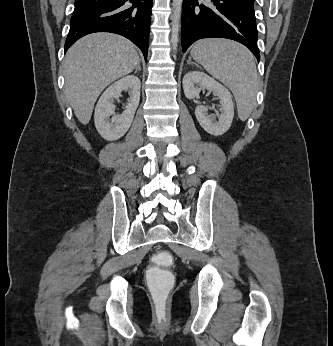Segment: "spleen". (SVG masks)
<instances>
[{
	"mask_svg": "<svg viewBox=\"0 0 333 346\" xmlns=\"http://www.w3.org/2000/svg\"><path fill=\"white\" fill-rule=\"evenodd\" d=\"M193 59L233 93L240 120L250 116L258 91V75L252 53L227 39H202L191 50Z\"/></svg>",
	"mask_w": 333,
	"mask_h": 346,
	"instance_id": "spleen-1",
	"label": "spleen"
}]
</instances>
